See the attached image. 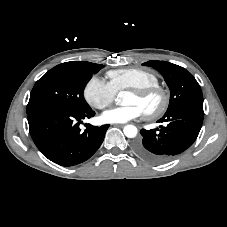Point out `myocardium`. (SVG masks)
<instances>
[{
  "instance_id": "myocardium-1",
  "label": "myocardium",
  "mask_w": 227,
  "mask_h": 227,
  "mask_svg": "<svg viewBox=\"0 0 227 227\" xmlns=\"http://www.w3.org/2000/svg\"><path fill=\"white\" fill-rule=\"evenodd\" d=\"M130 93L141 99H146L152 96H157L159 98V104L155 109L143 113L147 119H157L162 116L168 109L170 103V95L169 92L160 85L130 89Z\"/></svg>"
}]
</instances>
